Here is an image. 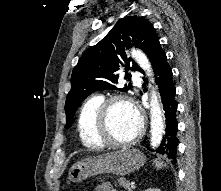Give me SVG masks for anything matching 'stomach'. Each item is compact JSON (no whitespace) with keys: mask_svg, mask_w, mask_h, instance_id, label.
I'll list each match as a JSON object with an SVG mask.
<instances>
[{"mask_svg":"<svg viewBox=\"0 0 221 191\" xmlns=\"http://www.w3.org/2000/svg\"><path fill=\"white\" fill-rule=\"evenodd\" d=\"M144 163L145 158L139 150L122 149L76 162L69 170L68 179L80 182L102 173L124 176L139 169Z\"/></svg>","mask_w":221,"mask_h":191,"instance_id":"1","label":"stomach"}]
</instances>
